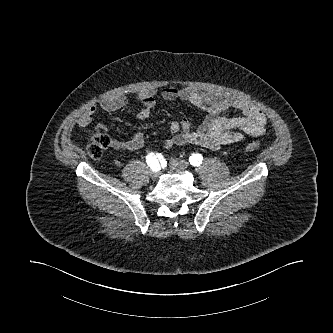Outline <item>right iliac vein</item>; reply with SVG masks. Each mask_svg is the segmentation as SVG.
I'll use <instances>...</instances> for the list:
<instances>
[{
    "mask_svg": "<svg viewBox=\"0 0 333 333\" xmlns=\"http://www.w3.org/2000/svg\"><path fill=\"white\" fill-rule=\"evenodd\" d=\"M158 175H159V171L158 170H152V172H151V177L152 178H157L158 177Z\"/></svg>",
    "mask_w": 333,
    "mask_h": 333,
    "instance_id": "right-iliac-vein-1",
    "label": "right iliac vein"
}]
</instances>
